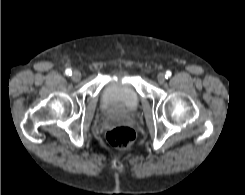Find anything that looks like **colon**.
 Instances as JSON below:
<instances>
[{"mask_svg": "<svg viewBox=\"0 0 245 195\" xmlns=\"http://www.w3.org/2000/svg\"><path fill=\"white\" fill-rule=\"evenodd\" d=\"M106 139L116 148L127 149L133 144L135 140V133L128 127H115L106 133Z\"/></svg>", "mask_w": 245, "mask_h": 195, "instance_id": "5ec220e1", "label": "colon"}]
</instances>
